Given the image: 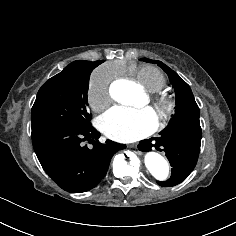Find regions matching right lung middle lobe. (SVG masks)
Returning a JSON list of instances; mask_svg holds the SVG:
<instances>
[{"mask_svg":"<svg viewBox=\"0 0 236 236\" xmlns=\"http://www.w3.org/2000/svg\"><path fill=\"white\" fill-rule=\"evenodd\" d=\"M94 67L67 66L38 91L32 107V132L56 126L82 128L90 124L87 92Z\"/></svg>","mask_w":236,"mask_h":236,"instance_id":"1","label":"right lung middle lobe"}]
</instances>
